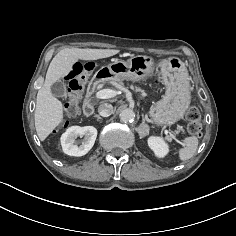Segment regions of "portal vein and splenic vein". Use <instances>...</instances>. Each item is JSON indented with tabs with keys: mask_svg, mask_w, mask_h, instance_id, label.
Returning <instances> with one entry per match:
<instances>
[{
	"mask_svg": "<svg viewBox=\"0 0 236 236\" xmlns=\"http://www.w3.org/2000/svg\"><path fill=\"white\" fill-rule=\"evenodd\" d=\"M116 95V92L111 90V89H102L98 92H96L95 97L97 99H108V98H112ZM165 133L168 136V131L166 130Z\"/></svg>",
	"mask_w": 236,
	"mask_h": 236,
	"instance_id": "18ae733b",
	"label": "portal vein and splenic vein"
}]
</instances>
